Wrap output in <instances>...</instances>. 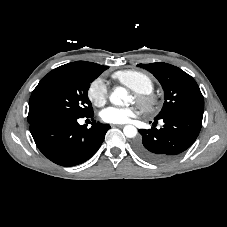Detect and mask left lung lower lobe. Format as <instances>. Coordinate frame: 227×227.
<instances>
[{"instance_id":"1","label":"left lung lower lobe","mask_w":227,"mask_h":227,"mask_svg":"<svg viewBox=\"0 0 227 227\" xmlns=\"http://www.w3.org/2000/svg\"><path fill=\"white\" fill-rule=\"evenodd\" d=\"M203 115L178 113L161 118L160 129H140L141 139L134 144L135 152L152 163H165L188 149L196 140ZM155 118V121L157 123Z\"/></svg>"}]
</instances>
